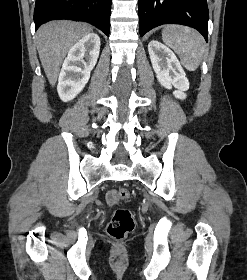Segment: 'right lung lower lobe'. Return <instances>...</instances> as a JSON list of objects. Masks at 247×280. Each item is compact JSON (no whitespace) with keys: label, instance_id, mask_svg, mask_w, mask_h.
I'll return each mask as SVG.
<instances>
[{"label":"right lung lower lobe","instance_id":"1","mask_svg":"<svg viewBox=\"0 0 247 280\" xmlns=\"http://www.w3.org/2000/svg\"><path fill=\"white\" fill-rule=\"evenodd\" d=\"M110 14L111 0H36L34 22L37 29L53 19L87 21L109 36Z\"/></svg>","mask_w":247,"mask_h":280}]
</instances>
